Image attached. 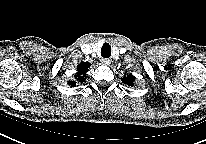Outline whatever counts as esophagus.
<instances>
[{
  "label": "esophagus",
  "instance_id": "obj_1",
  "mask_svg": "<svg viewBox=\"0 0 206 144\" xmlns=\"http://www.w3.org/2000/svg\"><path fill=\"white\" fill-rule=\"evenodd\" d=\"M101 61L105 65H109L111 63V60L109 58H102Z\"/></svg>",
  "mask_w": 206,
  "mask_h": 144
}]
</instances>
